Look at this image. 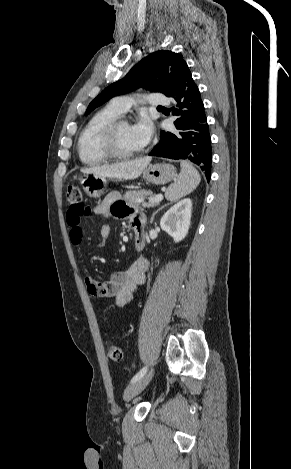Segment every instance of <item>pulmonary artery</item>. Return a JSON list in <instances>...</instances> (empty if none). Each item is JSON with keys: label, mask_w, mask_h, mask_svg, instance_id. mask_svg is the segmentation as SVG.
Segmentation results:
<instances>
[{"label": "pulmonary artery", "mask_w": 291, "mask_h": 469, "mask_svg": "<svg viewBox=\"0 0 291 469\" xmlns=\"http://www.w3.org/2000/svg\"><path fill=\"white\" fill-rule=\"evenodd\" d=\"M132 98L129 96H117L111 100V105L119 112H126L132 105ZM170 100L162 94L152 93L147 96V103L152 107L168 105Z\"/></svg>", "instance_id": "pulmonary-artery-1"}]
</instances>
